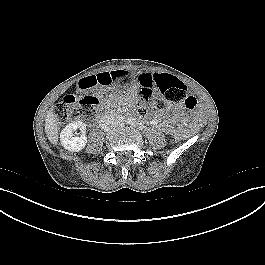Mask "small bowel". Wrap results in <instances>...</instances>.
<instances>
[{
  "mask_svg": "<svg viewBox=\"0 0 265 265\" xmlns=\"http://www.w3.org/2000/svg\"><path fill=\"white\" fill-rule=\"evenodd\" d=\"M151 75L152 73L146 72L140 74L136 78L134 73L125 70L105 72L101 74L92 73L85 78L77 80L74 83L73 89L77 95L86 96L89 95L93 90H106L114 85V87L117 89H124L128 87V93L134 96L140 86L152 87L150 84ZM171 108V105L163 106L160 110L155 112L154 118L165 117L169 113ZM183 108V105H177L175 107L176 110H181ZM169 128L172 132H177V129L174 126V122L169 125Z\"/></svg>",
  "mask_w": 265,
  "mask_h": 265,
  "instance_id": "c3829d8e",
  "label": "small bowel"
}]
</instances>
